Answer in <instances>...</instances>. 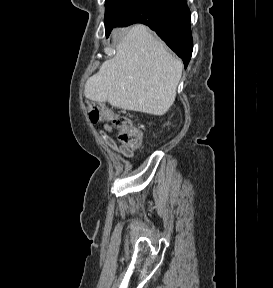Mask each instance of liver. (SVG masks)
I'll return each instance as SVG.
<instances>
[{
    "instance_id": "1",
    "label": "liver",
    "mask_w": 273,
    "mask_h": 288,
    "mask_svg": "<svg viewBox=\"0 0 273 288\" xmlns=\"http://www.w3.org/2000/svg\"><path fill=\"white\" fill-rule=\"evenodd\" d=\"M116 55L90 77L84 95L120 109L164 115L172 106L182 75V61L145 25L133 26L120 39L113 31Z\"/></svg>"
}]
</instances>
